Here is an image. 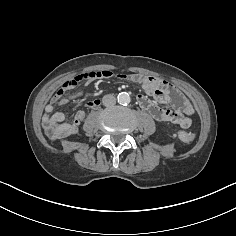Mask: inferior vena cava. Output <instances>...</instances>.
<instances>
[{"mask_svg":"<svg viewBox=\"0 0 236 236\" xmlns=\"http://www.w3.org/2000/svg\"><path fill=\"white\" fill-rule=\"evenodd\" d=\"M102 103L106 107H112L116 103V98L112 94H107L103 97Z\"/></svg>","mask_w":236,"mask_h":236,"instance_id":"inferior-vena-cava-1","label":"inferior vena cava"}]
</instances>
